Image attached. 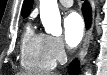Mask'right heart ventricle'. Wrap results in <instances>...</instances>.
Here are the masks:
<instances>
[{
	"mask_svg": "<svg viewBox=\"0 0 107 75\" xmlns=\"http://www.w3.org/2000/svg\"><path fill=\"white\" fill-rule=\"evenodd\" d=\"M20 63L33 72L51 71L56 64L49 51L47 35L37 33L31 23L25 26L22 34Z\"/></svg>",
	"mask_w": 107,
	"mask_h": 75,
	"instance_id": "1",
	"label": "right heart ventricle"
}]
</instances>
